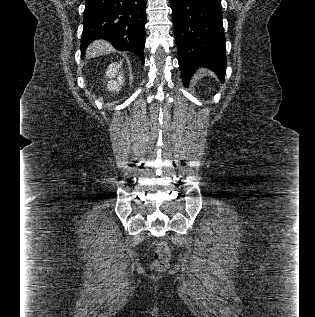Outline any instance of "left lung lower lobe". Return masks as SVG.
Here are the masks:
<instances>
[{"label": "left lung lower lobe", "mask_w": 315, "mask_h": 317, "mask_svg": "<svg viewBox=\"0 0 315 317\" xmlns=\"http://www.w3.org/2000/svg\"><path fill=\"white\" fill-rule=\"evenodd\" d=\"M184 85L198 67L224 82L227 65L221 0H170Z\"/></svg>", "instance_id": "0a47b994"}]
</instances>
